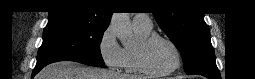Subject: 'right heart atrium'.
Wrapping results in <instances>:
<instances>
[{
	"label": "right heart atrium",
	"instance_id": "1",
	"mask_svg": "<svg viewBox=\"0 0 255 79\" xmlns=\"http://www.w3.org/2000/svg\"><path fill=\"white\" fill-rule=\"evenodd\" d=\"M98 50L106 66L114 70L123 68V48L117 42L111 27H107L102 33L98 44Z\"/></svg>",
	"mask_w": 255,
	"mask_h": 79
}]
</instances>
